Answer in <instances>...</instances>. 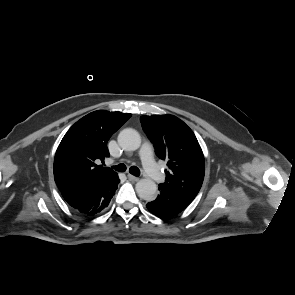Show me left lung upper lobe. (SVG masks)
<instances>
[{"mask_svg": "<svg viewBox=\"0 0 295 295\" xmlns=\"http://www.w3.org/2000/svg\"><path fill=\"white\" fill-rule=\"evenodd\" d=\"M140 121L158 157L167 163L166 180L159 187L196 197L205 163L193 131L173 115L142 116Z\"/></svg>", "mask_w": 295, "mask_h": 295, "instance_id": "obj_1", "label": "left lung upper lobe"}]
</instances>
